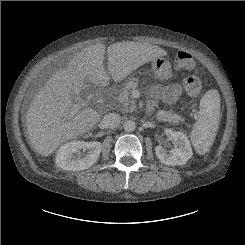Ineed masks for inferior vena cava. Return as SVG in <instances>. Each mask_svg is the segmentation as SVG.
<instances>
[{"label":"inferior vena cava","instance_id":"602c4592","mask_svg":"<svg viewBox=\"0 0 245 245\" xmlns=\"http://www.w3.org/2000/svg\"><path fill=\"white\" fill-rule=\"evenodd\" d=\"M121 122V117L116 113H108L103 118V123L107 128H115Z\"/></svg>","mask_w":245,"mask_h":245}]
</instances>
